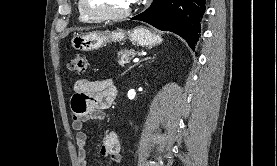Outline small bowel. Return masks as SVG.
<instances>
[{
  "mask_svg": "<svg viewBox=\"0 0 277 166\" xmlns=\"http://www.w3.org/2000/svg\"><path fill=\"white\" fill-rule=\"evenodd\" d=\"M71 98L72 128L76 131L79 166H91L86 153L87 134L84 126L91 120L104 119V110L111 107L116 97V88L110 81L79 79L73 86ZM121 145L117 133L107 129L102 138L99 155L109 158L113 164L121 161Z\"/></svg>",
  "mask_w": 277,
  "mask_h": 166,
  "instance_id": "c3829d8e",
  "label": "small bowel"
}]
</instances>
